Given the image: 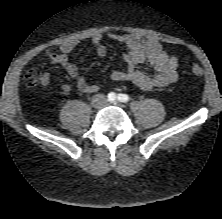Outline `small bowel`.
Returning <instances> with one entry per match:
<instances>
[{
  "label": "small bowel",
  "mask_w": 222,
  "mask_h": 219,
  "mask_svg": "<svg viewBox=\"0 0 222 219\" xmlns=\"http://www.w3.org/2000/svg\"><path fill=\"white\" fill-rule=\"evenodd\" d=\"M108 37L126 46L127 53L124 56L126 68L115 70L111 73L114 81H128L133 83L141 91H149L153 88L166 87L177 81L179 60L177 56L168 53L154 37L143 38L137 34H117L109 33ZM96 54L104 57L107 53L106 47L102 43V36L95 34L92 39ZM75 42H66L57 50H50L46 53L50 63L61 66L68 75L76 82L77 89L83 93H94L99 87L87 81L84 74L77 65L72 63L68 55L75 49ZM145 64L152 68L154 73L149 75L138 69V66ZM51 76L44 72L40 76V86L47 88L50 84ZM63 93H71L73 88L67 83L59 86Z\"/></svg>",
  "instance_id": "small-bowel-1"
}]
</instances>
